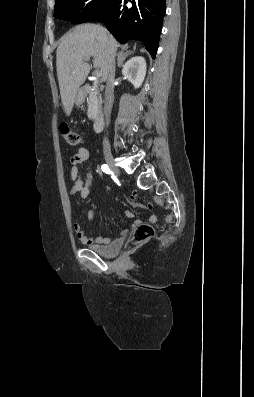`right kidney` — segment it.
<instances>
[{"label":"right kidney","mask_w":254,"mask_h":397,"mask_svg":"<svg viewBox=\"0 0 254 397\" xmlns=\"http://www.w3.org/2000/svg\"><path fill=\"white\" fill-rule=\"evenodd\" d=\"M122 75L128 79L135 88H139L146 75V61L141 56L129 59L122 69Z\"/></svg>","instance_id":"right-kidney-1"}]
</instances>
